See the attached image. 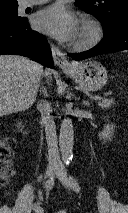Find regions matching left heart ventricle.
Masks as SVG:
<instances>
[{"label": "left heart ventricle", "mask_w": 128, "mask_h": 213, "mask_svg": "<svg viewBox=\"0 0 128 213\" xmlns=\"http://www.w3.org/2000/svg\"><path fill=\"white\" fill-rule=\"evenodd\" d=\"M86 36L87 30L80 27L76 36V40L84 39Z\"/></svg>", "instance_id": "b2bd125f"}]
</instances>
